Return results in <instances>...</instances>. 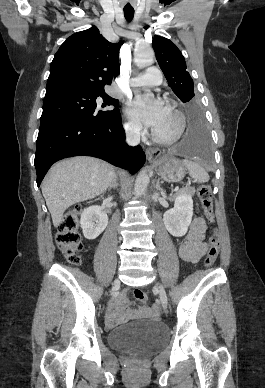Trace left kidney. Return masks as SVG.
<instances>
[{
	"label": "left kidney",
	"mask_w": 265,
	"mask_h": 388,
	"mask_svg": "<svg viewBox=\"0 0 265 388\" xmlns=\"http://www.w3.org/2000/svg\"><path fill=\"white\" fill-rule=\"evenodd\" d=\"M193 200L189 194H178L175 198L174 208L163 214V222L171 236L181 238L187 234L192 222Z\"/></svg>",
	"instance_id": "left-kidney-1"
}]
</instances>
